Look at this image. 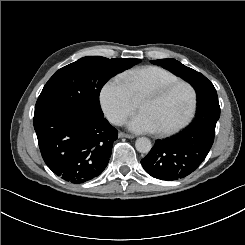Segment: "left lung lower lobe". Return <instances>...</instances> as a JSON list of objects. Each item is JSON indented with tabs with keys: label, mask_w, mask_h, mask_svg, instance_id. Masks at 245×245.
I'll use <instances>...</instances> for the list:
<instances>
[{
	"label": "left lung lower lobe",
	"mask_w": 245,
	"mask_h": 245,
	"mask_svg": "<svg viewBox=\"0 0 245 245\" xmlns=\"http://www.w3.org/2000/svg\"><path fill=\"white\" fill-rule=\"evenodd\" d=\"M196 92L198 105L194 121L181 133L156 141L141 160L150 176L166 181L182 179L199 167L212 147L220 117L217 92L211 82L202 83Z\"/></svg>",
	"instance_id": "0a47b994"
}]
</instances>
